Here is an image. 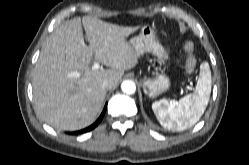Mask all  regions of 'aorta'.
Masks as SVG:
<instances>
[{
	"mask_svg": "<svg viewBox=\"0 0 249 165\" xmlns=\"http://www.w3.org/2000/svg\"><path fill=\"white\" fill-rule=\"evenodd\" d=\"M121 89L126 94H134L136 91V85L131 80H125L121 84Z\"/></svg>",
	"mask_w": 249,
	"mask_h": 165,
	"instance_id": "762f6f07",
	"label": "aorta"
}]
</instances>
